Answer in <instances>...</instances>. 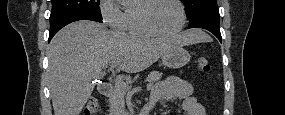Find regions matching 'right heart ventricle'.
I'll list each match as a JSON object with an SVG mask.
<instances>
[{"instance_id": "right-heart-ventricle-1", "label": "right heart ventricle", "mask_w": 285, "mask_h": 115, "mask_svg": "<svg viewBox=\"0 0 285 115\" xmlns=\"http://www.w3.org/2000/svg\"><path fill=\"white\" fill-rule=\"evenodd\" d=\"M146 1V0H145ZM144 0L138 1V4L128 5L123 12V19L121 23V29L125 30L131 35L138 37H150L152 36L141 21V5Z\"/></svg>"}]
</instances>
